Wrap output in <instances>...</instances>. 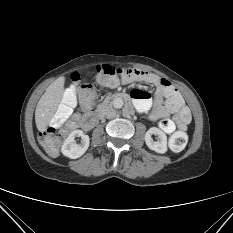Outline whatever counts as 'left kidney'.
<instances>
[{
	"mask_svg": "<svg viewBox=\"0 0 233 233\" xmlns=\"http://www.w3.org/2000/svg\"><path fill=\"white\" fill-rule=\"evenodd\" d=\"M152 135L158 136V141L152 139ZM145 143L149 149L164 154L167 152V136L166 134L156 127H151L145 134Z\"/></svg>",
	"mask_w": 233,
	"mask_h": 233,
	"instance_id": "left-kidney-1",
	"label": "left kidney"
}]
</instances>
